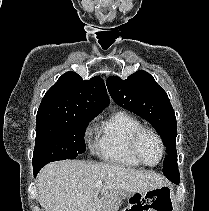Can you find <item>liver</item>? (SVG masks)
<instances>
[{"instance_id":"liver-1","label":"liver","mask_w":209,"mask_h":211,"mask_svg":"<svg viewBox=\"0 0 209 211\" xmlns=\"http://www.w3.org/2000/svg\"><path fill=\"white\" fill-rule=\"evenodd\" d=\"M102 181V186H96ZM155 172L113 164L64 160L47 164L37 176L38 201L45 211H104L102 188L115 195L145 193L163 186Z\"/></svg>"}]
</instances>
